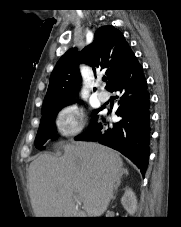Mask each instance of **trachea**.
Segmentation results:
<instances>
[{
  "label": "trachea",
  "instance_id": "obj_1",
  "mask_svg": "<svg viewBox=\"0 0 181 227\" xmlns=\"http://www.w3.org/2000/svg\"><path fill=\"white\" fill-rule=\"evenodd\" d=\"M103 81H106V78H103Z\"/></svg>",
  "mask_w": 181,
  "mask_h": 227
}]
</instances>
